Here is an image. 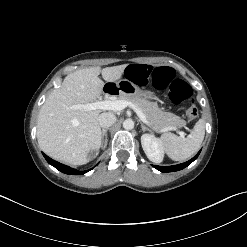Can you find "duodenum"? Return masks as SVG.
Returning a JSON list of instances; mask_svg holds the SVG:
<instances>
[{
	"label": "duodenum",
	"instance_id": "1",
	"mask_svg": "<svg viewBox=\"0 0 247 247\" xmlns=\"http://www.w3.org/2000/svg\"><path fill=\"white\" fill-rule=\"evenodd\" d=\"M118 92V88L115 85H108L103 88V94H116Z\"/></svg>",
	"mask_w": 247,
	"mask_h": 247
}]
</instances>
